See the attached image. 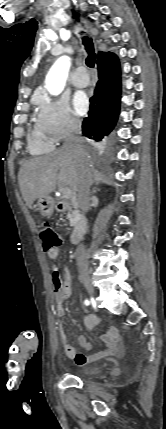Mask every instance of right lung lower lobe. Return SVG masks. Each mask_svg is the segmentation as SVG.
I'll use <instances>...</instances> for the list:
<instances>
[{"label":"right lung lower lobe","instance_id":"98d812e1","mask_svg":"<svg viewBox=\"0 0 166 429\" xmlns=\"http://www.w3.org/2000/svg\"><path fill=\"white\" fill-rule=\"evenodd\" d=\"M99 80L91 97L90 111L82 123L84 136L101 141L114 128L120 110V65L115 54L97 61Z\"/></svg>","mask_w":166,"mask_h":429}]
</instances>
